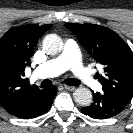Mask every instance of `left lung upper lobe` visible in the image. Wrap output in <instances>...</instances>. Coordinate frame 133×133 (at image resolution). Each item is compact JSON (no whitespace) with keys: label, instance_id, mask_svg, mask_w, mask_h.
Here are the masks:
<instances>
[{"label":"left lung upper lobe","instance_id":"1","mask_svg":"<svg viewBox=\"0 0 133 133\" xmlns=\"http://www.w3.org/2000/svg\"><path fill=\"white\" fill-rule=\"evenodd\" d=\"M90 56L104 67L96 74L102 93L130 101L133 97V53L122 38L109 28L67 23Z\"/></svg>","mask_w":133,"mask_h":133}]
</instances>
